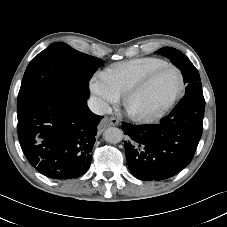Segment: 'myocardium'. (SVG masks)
Masks as SVG:
<instances>
[{"label": "myocardium", "instance_id": "f54148a6", "mask_svg": "<svg viewBox=\"0 0 227 227\" xmlns=\"http://www.w3.org/2000/svg\"><path fill=\"white\" fill-rule=\"evenodd\" d=\"M174 69L177 71L179 75V87L176 91V93L173 95V97L168 101V103L159 111L152 113V114H139L134 113L129 109V103L130 101L139 93H141L152 81L153 79L161 73L165 69ZM184 76L180 68L173 64H166L164 66H161L159 68H156L155 70L151 71L149 74H147L142 80H140L137 84H135L133 87H131L123 96V106L126 109L129 116L137 121L141 122H153L156 121L163 116H165L169 110L173 107V105L176 103V101L180 98V96L183 93L184 90Z\"/></svg>", "mask_w": 227, "mask_h": 227}]
</instances>
